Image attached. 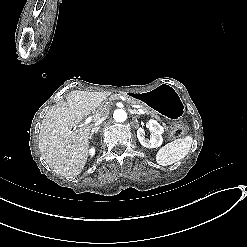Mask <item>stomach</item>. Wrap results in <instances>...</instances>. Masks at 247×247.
Wrapping results in <instances>:
<instances>
[{"label": "stomach", "mask_w": 247, "mask_h": 247, "mask_svg": "<svg viewBox=\"0 0 247 247\" xmlns=\"http://www.w3.org/2000/svg\"><path fill=\"white\" fill-rule=\"evenodd\" d=\"M130 96L139 99L159 115L169 119H179L184 114V102L167 84H160L144 92L132 93Z\"/></svg>", "instance_id": "0dacf381"}]
</instances>
